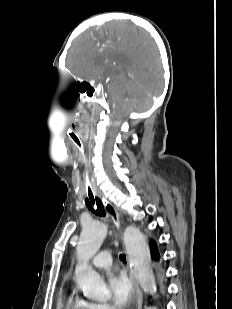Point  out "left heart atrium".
<instances>
[{"instance_id": "39dd6f15", "label": "left heart atrium", "mask_w": 232, "mask_h": 309, "mask_svg": "<svg viewBox=\"0 0 232 309\" xmlns=\"http://www.w3.org/2000/svg\"><path fill=\"white\" fill-rule=\"evenodd\" d=\"M113 302L119 308H125L135 299V290L125 273L115 270L108 277Z\"/></svg>"}]
</instances>
